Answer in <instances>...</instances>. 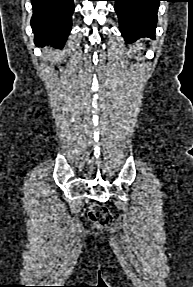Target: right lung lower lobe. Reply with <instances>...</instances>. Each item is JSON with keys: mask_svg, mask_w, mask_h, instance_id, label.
<instances>
[{"mask_svg": "<svg viewBox=\"0 0 193 287\" xmlns=\"http://www.w3.org/2000/svg\"><path fill=\"white\" fill-rule=\"evenodd\" d=\"M31 27L36 44L62 47L69 35L74 12L73 0H31Z\"/></svg>", "mask_w": 193, "mask_h": 287, "instance_id": "obj_1", "label": "right lung lower lobe"}]
</instances>
